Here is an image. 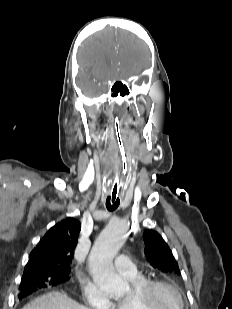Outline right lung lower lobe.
I'll list each match as a JSON object with an SVG mask.
<instances>
[{
  "label": "right lung lower lobe",
  "instance_id": "1",
  "mask_svg": "<svg viewBox=\"0 0 232 309\" xmlns=\"http://www.w3.org/2000/svg\"><path fill=\"white\" fill-rule=\"evenodd\" d=\"M37 289L34 286H24L19 293V299H23L26 296L30 295L32 292L36 291Z\"/></svg>",
  "mask_w": 232,
  "mask_h": 309
}]
</instances>
